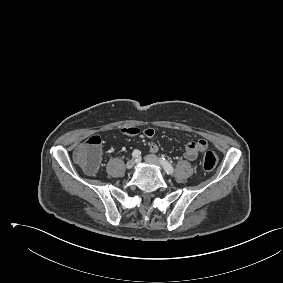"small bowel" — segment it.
Returning <instances> with one entry per match:
<instances>
[{"label": "small bowel", "mask_w": 283, "mask_h": 283, "mask_svg": "<svg viewBox=\"0 0 283 283\" xmlns=\"http://www.w3.org/2000/svg\"><path fill=\"white\" fill-rule=\"evenodd\" d=\"M121 132L128 136H137L142 133L148 138H152L155 135V130L153 128H146L141 131L137 127H125L121 129ZM208 148V142L205 139H199L197 141L188 142L185 146L184 157L188 160H195L199 153L205 151ZM150 151L155 153L158 151V146L156 143L152 142L150 144Z\"/></svg>", "instance_id": "1"}]
</instances>
